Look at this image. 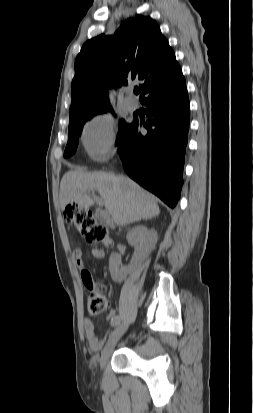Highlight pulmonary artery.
<instances>
[{
	"label": "pulmonary artery",
	"mask_w": 253,
	"mask_h": 413,
	"mask_svg": "<svg viewBox=\"0 0 253 413\" xmlns=\"http://www.w3.org/2000/svg\"><path fill=\"white\" fill-rule=\"evenodd\" d=\"M123 104L129 111H135L138 108V102L130 96L124 99Z\"/></svg>",
	"instance_id": "obj_1"
}]
</instances>
